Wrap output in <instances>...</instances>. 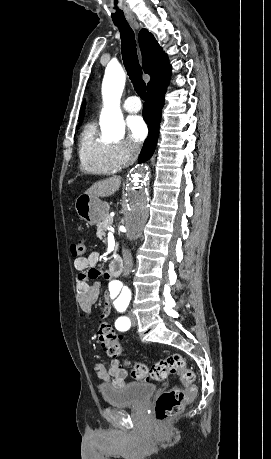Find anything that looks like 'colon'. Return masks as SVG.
I'll list each match as a JSON object with an SVG mask.
<instances>
[{
  "label": "colon",
  "instance_id": "5ec220e1",
  "mask_svg": "<svg viewBox=\"0 0 271 459\" xmlns=\"http://www.w3.org/2000/svg\"><path fill=\"white\" fill-rule=\"evenodd\" d=\"M71 255L74 258H82L86 255V244L83 240H78L70 247ZM98 339L113 357L122 355V348L119 344L118 336L112 326L107 322H102L98 328ZM126 365L131 368V376L140 381L164 380L168 375H177L182 381V387L169 389L161 393L155 401V417L160 423L166 422L178 415L183 406L191 401L196 394V387L193 382L195 374L193 370L186 366L184 358L180 354H172L156 362L151 367H147L140 362H134Z\"/></svg>",
  "mask_w": 271,
  "mask_h": 459
}]
</instances>
